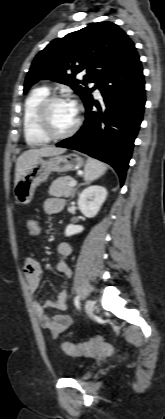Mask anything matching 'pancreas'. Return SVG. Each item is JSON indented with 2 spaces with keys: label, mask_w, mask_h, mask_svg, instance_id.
Segmentation results:
<instances>
[{
  "label": "pancreas",
  "mask_w": 165,
  "mask_h": 419,
  "mask_svg": "<svg viewBox=\"0 0 165 419\" xmlns=\"http://www.w3.org/2000/svg\"><path fill=\"white\" fill-rule=\"evenodd\" d=\"M72 180L73 178L70 176L55 179L49 188V194L55 197H69L74 190V188L69 185Z\"/></svg>",
  "instance_id": "pancreas-1"
}]
</instances>
